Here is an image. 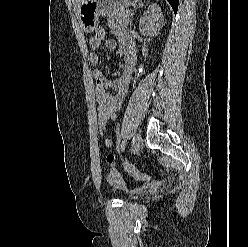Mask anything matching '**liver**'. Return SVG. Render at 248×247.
Instances as JSON below:
<instances>
[{
    "instance_id": "6515ba94",
    "label": "liver",
    "mask_w": 248,
    "mask_h": 247,
    "mask_svg": "<svg viewBox=\"0 0 248 247\" xmlns=\"http://www.w3.org/2000/svg\"><path fill=\"white\" fill-rule=\"evenodd\" d=\"M73 1H74L75 9L77 11L78 7L80 6L83 0H73Z\"/></svg>"
}]
</instances>
